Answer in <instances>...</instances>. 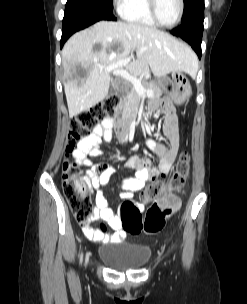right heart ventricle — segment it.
<instances>
[{"label": "right heart ventricle", "instance_id": "obj_1", "mask_svg": "<svg viewBox=\"0 0 247 304\" xmlns=\"http://www.w3.org/2000/svg\"><path fill=\"white\" fill-rule=\"evenodd\" d=\"M121 16L129 22L146 26L156 25L149 13L147 0H128L121 9Z\"/></svg>", "mask_w": 247, "mask_h": 304}]
</instances>
